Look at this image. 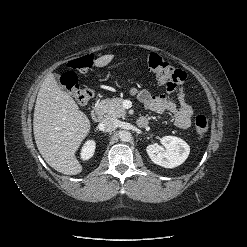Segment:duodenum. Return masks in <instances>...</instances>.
<instances>
[{
	"label": "duodenum",
	"mask_w": 247,
	"mask_h": 247,
	"mask_svg": "<svg viewBox=\"0 0 247 247\" xmlns=\"http://www.w3.org/2000/svg\"><path fill=\"white\" fill-rule=\"evenodd\" d=\"M103 117V107L101 105H96L91 112L92 120L95 122H100L103 119ZM137 123L140 127H146L148 125V121L145 118H140Z\"/></svg>",
	"instance_id": "obj_1"
}]
</instances>
